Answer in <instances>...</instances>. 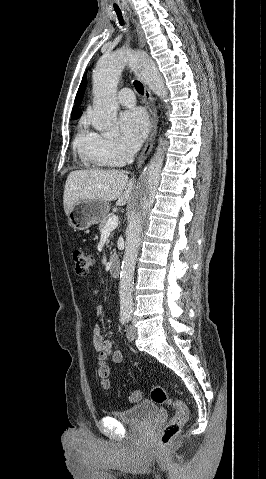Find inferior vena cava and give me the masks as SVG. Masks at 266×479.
<instances>
[{"mask_svg":"<svg viewBox=\"0 0 266 479\" xmlns=\"http://www.w3.org/2000/svg\"><path fill=\"white\" fill-rule=\"evenodd\" d=\"M127 161L129 164H131L133 161H134V157H133V154L130 153L128 156H127Z\"/></svg>","mask_w":266,"mask_h":479,"instance_id":"602c4592","label":"inferior vena cava"}]
</instances>
